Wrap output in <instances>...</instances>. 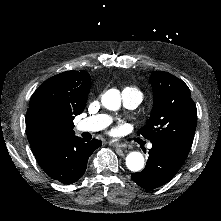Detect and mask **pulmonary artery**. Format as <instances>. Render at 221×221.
Masks as SVG:
<instances>
[{"label": "pulmonary artery", "mask_w": 221, "mask_h": 221, "mask_svg": "<svg viewBox=\"0 0 221 221\" xmlns=\"http://www.w3.org/2000/svg\"><path fill=\"white\" fill-rule=\"evenodd\" d=\"M143 97L142 90L140 87L135 86V87H129L125 86L121 89L120 91V97L119 100L123 104V106L129 110L134 109L136 106H138L141 102V99ZM108 113H103L102 115L100 114H95L93 115H88V117L83 118L81 123L83 126H87L88 129L90 130H101L107 128L112 122H114L115 118L114 116H109L108 118ZM98 120V121H97Z\"/></svg>", "instance_id": "obj_1"}]
</instances>
